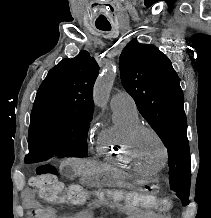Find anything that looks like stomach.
Masks as SVG:
<instances>
[{"mask_svg": "<svg viewBox=\"0 0 211 218\" xmlns=\"http://www.w3.org/2000/svg\"><path fill=\"white\" fill-rule=\"evenodd\" d=\"M82 181L92 187H122L139 191H144L146 185L155 182L151 178H142L125 173L85 175Z\"/></svg>", "mask_w": 211, "mask_h": 218, "instance_id": "obj_1", "label": "stomach"}]
</instances>
